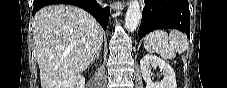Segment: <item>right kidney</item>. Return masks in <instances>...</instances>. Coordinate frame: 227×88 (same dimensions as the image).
<instances>
[{
    "label": "right kidney",
    "mask_w": 227,
    "mask_h": 88,
    "mask_svg": "<svg viewBox=\"0 0 227 88\" xmlns=\"http://www.w3.org/2000/svg\"><path fill=\"white\" fill-rule=\"evenodd\" d=\"M85 78L82 75L72 76L60 82L55 88H84Z\"/></svg>",
    "instance_id": "obj_1"
}]
</instances>
